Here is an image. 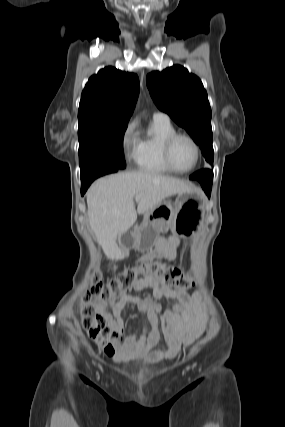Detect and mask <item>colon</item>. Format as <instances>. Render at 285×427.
I'll return each instance as SVG.
<instances>
[{"label":"colon","instance_id":"obj_1","mask_svg":"<svg viewBox=\"0 0 285 427\" xmlns=\"http://www.w3.org/2000/svg\"><path fill=\"white\" fill-rule=\"evenodd\" d=\"M161 280L163 286L178 287L184 290L194 286V279L189 273L178 267H170L159 260H142L136 266L127 268L121 273L104 282L100 273L96 272L89 289L81 298L80 315L82 325L88 334L105 350H110L119 336L111 330L105 319L96 312L93 301H109L116 299L128 291L139 277Z\"/></svg>","mask_w":285,"mask_h":427}]
</instances>
